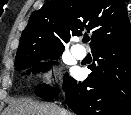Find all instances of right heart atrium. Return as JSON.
Segmentation results:
<instances>
[{"instance_id":"1","label":"right heart atrium","mask_w":131,"mask_h":115,"mask_svg":"<svg viewBox=\"0 0 131 115\" xmlns=\"http://www.w3.org/2000/svg\"><path fill=\"white\" fill-rule=\"evenodd\" d=\"M46 80H47V82H50V72H47V74H46Z\"/></svg>"}]
</instances>
